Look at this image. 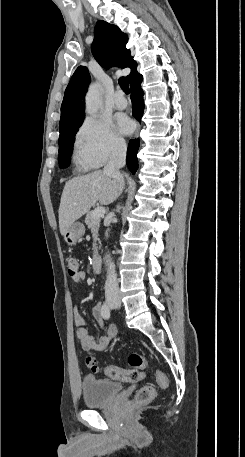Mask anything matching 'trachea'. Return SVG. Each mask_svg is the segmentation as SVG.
Listing matches in <instances>:
<instances>
[{"label": "trachea", "instance_id": "obj_1", "mask_svg": "<svg viewBox=\"0 0 245 457\" xmlns=\"http://www.w3.org/2000/svg\"><path fill=\"white\" fill-rule=\"evenodd\" d=\"M119 85H120V87L122 88V90H123L126 94L129 93V91H130V90H129V84H128V81H127V79H126L125 77H121V78L119 79Z\"/></svg>", "mask_w": 245, "mask_h": 457}]
</instances>
